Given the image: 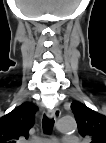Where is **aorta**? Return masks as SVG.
I'll list each match as a JSON object with an SVG mask.
<instances>
[{"label": "aorta", "mask_w": 106, "mask_h": 143, "mask_svg": "<svg viewBox=\"0 0 106 143\" xmlns=\"http://www.w3.org/2000/svg\"><path fill=\"white\" fill-rule=\"evenodd\" d=\"M76 127V122L72 117H64L58 123V130L64 133H72Z\"/></svg>", "instance_id": "aorta-1"}]
</instances>
